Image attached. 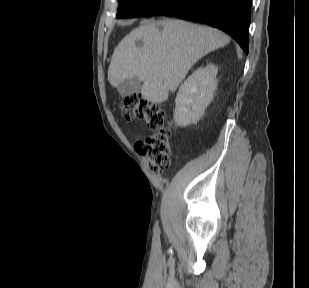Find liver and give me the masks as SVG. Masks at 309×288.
Returning a JSON list of instances; mask_svg holds the SVG:
<instances>
[{
	"label": "liver",
	"mask_w": 309,
	"mask_h": 288,
	"mask_svg": "<svg viewBox=\"0 0 309 288\" xmlns=\"http://www.w3.org/2000/svg\"><path fill=\"white\" fill-rule=\"evenodd\" d=\"M229 42L227 35L212 27L176 19L145 22L115 48L108 80L117 87L125 79L137 77L143 82L142 98L162 103L197 61Z\"/></svg>",
	"instance_id": "liver-1"
}]
</instances>
